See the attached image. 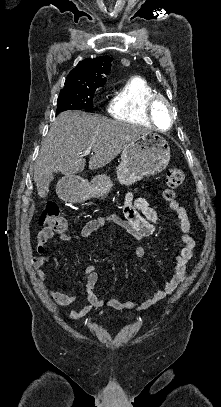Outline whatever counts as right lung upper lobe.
Masks as SVG:
<instances>
[{"mask_svg": "<svg viewBox=\"0 0 221 407\" xmlns=\"http://www.w3.org/2000/svg\"><path fill=\"white\" fill-rule=\"evenodd\" d=\"M112 60V57L100 56L80 61L68 74L62 90L97 89L103 86L106 83L105 74L110 71Z\"/></svg>", "mask_w": 221, "mask_h": 407, "instance_id": "1", "label": "right lung upper lobe"}]
</instances>
